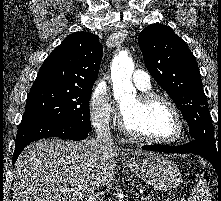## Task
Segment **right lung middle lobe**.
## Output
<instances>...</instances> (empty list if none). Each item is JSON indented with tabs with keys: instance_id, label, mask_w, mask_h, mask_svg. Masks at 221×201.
Returning a JSON list of instances; mask_svg holds the SVG:
<instances>
[{
	"instance_id": "right-lung-middle-lobe-1",
	"label": "right lung middle lobe",
	"mask_w": 221,
	"mask_h": 201,
	"mask_svg": "<svg viewBox=\"0 0 221 201\" xmlns=\"http://www.w3.org/2000/svg\"><path fill=\"white\" fill-rule=\"evenodd\" d=\"M91 89L31 88L21 122L59 120L91 128L88 103Z\"/></svg>"
}]
</instances>
